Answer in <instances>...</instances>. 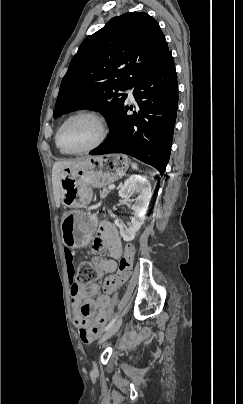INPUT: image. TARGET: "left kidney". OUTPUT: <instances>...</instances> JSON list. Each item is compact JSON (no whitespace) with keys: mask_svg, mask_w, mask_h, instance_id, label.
Returning <instances> with one entry per match:
<instances>
[{"mask_svg":"<svg viewBox=\"0 0 243 404\" xmlns=\"http://www.w3.org/2000/svg\"><path fill=\"white\" fill-rule=\"evenodd\" d=\"M132 192H136L138 196L135 198V204L132 208L134 218H131L128 228H124L120 220H115V224L118 226L124 242H132L136 236V232L144 224L145 214L152 196L150 182L146 178H143V176H130L124 182V186L120 188L119 196L120 198H129Z\"/></svg>","mask_w":243,"mask_h":404,"instance_id":"obj_1","label":"left kidney"}]
</instances>
